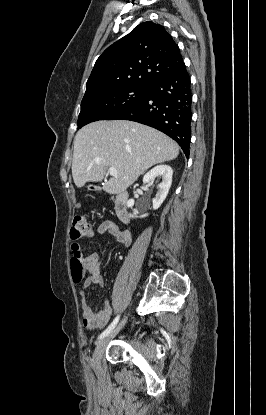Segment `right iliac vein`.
<instances>
[{
	"label": "right iliac vein",
	"mask_w": 266,
	"mask_h": 415,
	"mask_svg": "<svg viewBox=\"0 0 266 415\" xmlns=\"http://www.w3.org/2000/svg\"><path fill=\"white\" fill-rule=\"evenodd\" d=\"M126 320L127 318H124L114 330H112L107 336L103 337L101 340L98 341L92 359V364L95 368L100 367L101 359L103 357L107 344L125 325Z\"/></svg>",
	"instance_id": "right-iliac-vein-1"
}]
</instances>
